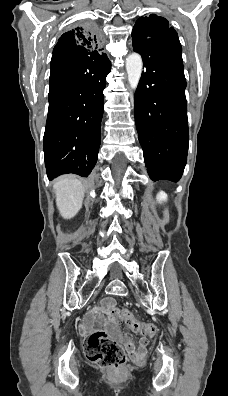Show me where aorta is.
Segmentation results:
<instances>
[{
	"label": "aorta",
	"mask_w": 228,
	"mask_h": 396,
	"mask_svg": "<svg viewBox=\"0 0 228 396\" xmlns=\"http://www.w3.org/2000/svg\"><path fill=\"white\" fill-rule=\"evenodd\" d=\"M142 58L138 53H132L126 58L128 82L132 90H136L142 73Z\"/></svg>",
	"instance_id": "1"
}]
</instances>
